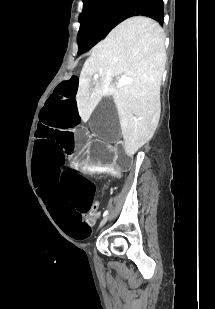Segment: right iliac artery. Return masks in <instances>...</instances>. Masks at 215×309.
I'll return each mask as SVG.
<instances>
[{
    "label": "right iliac artery",
    "mask_w": 215,
    "mask_h": 309,
    "mask_svg": "<svg viewBox=\"0 0 215 309\" xmlns=\"http://www.w3.org/2000/svg\"><path fill=\"white\" fill-rule=\"evenodd\" d=\"M108 214V211L106 210L103 214V216L105 217Z\"/></svg>",
    "instance_id": "obj_1"
}]
</instances>
